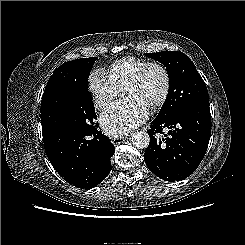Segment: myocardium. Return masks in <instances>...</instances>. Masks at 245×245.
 <instances>
[{
  "label": "myocardium",
  "instance_id": "myocardium-1",
  "mask_svg": "<svg viewBox=\"0 0 245 245\" xmlns=\"http://www.w3.org/2000/svg\"><path fill=\"white\" fill-rule=\"evenodd\" d=\"M152 68L159 69L163 75V80H164L163 90L160 97L150 105V108L157 109L166 102L171 87L170 73L168 68L164 64L160 62L147 63L125 84L123 88L136 86L139 83H141L144 77L146 76L147 72Z\"/></svg>",
  "mask_w": 245,
  "mask_h": 245
}]
</instances>
